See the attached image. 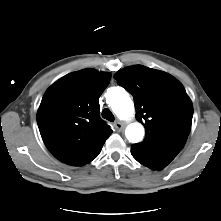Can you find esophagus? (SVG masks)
Here are the masks:
<instances>
[{"label": "esophagus", "mask_w": 221, "mask_h": 221, "mask_svg": "<svg viewBox=\"0 0 221 221\" xmlns=\"http://www.w3.org/2000/svg\"><path fill=\"white\" fill-rule=\"evenodd\" d=\"M114 127H115L116 130H122L124 128V125L122 124L121 121L117 120L114 123Z\"/></svg>", "instance_id": "1"}]
</instances>
